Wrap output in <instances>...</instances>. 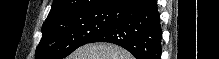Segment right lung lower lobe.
Segmentation results:
<instances>
[{"instance_id":"98d812e1","label":"right lung lower lobe","mask_w":219,"mask_h":59,"mask_svg":"<svg viewBox=\"0 0 219 59\" xmlns=\"http://www.w3.org/2000/svg\"><path fill=\"white\" fill-rule=\"evenodd\" d=\"M114 10L118 20L90 43H114L137 59H160L162 30L156 1L121 0Z\"/></svg>"}]
</instances>
